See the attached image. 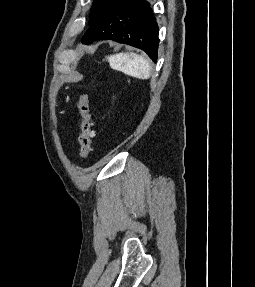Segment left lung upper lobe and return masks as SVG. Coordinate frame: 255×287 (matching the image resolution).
<instances>
[{
    "mask_svg": "<svg viewBox=\"0 0 255 287\" xmlns=\"http://www.w3.org/2000/svg\"><path fill=\"white\" fill-rule=\"evenodd\" d=\"M115 0H94L90 13V24L103 14Z\"/></svg>",
    "mask_w": 255,
    "mask_h": 287,
    "instance_id": "obj_1",
    "label": "left lung upper lobe"
}]
</instances>
